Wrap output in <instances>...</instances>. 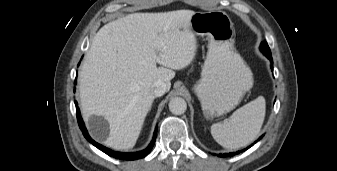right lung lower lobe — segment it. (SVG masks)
<instances>
[{"label":"right lung lower lobe","instance_id":"obj_1","mask_svg":"<svg viewBox=\"0 0 337 171\" xmlns=\"http://www.w3.org/2000/svg\"><path fill=\"white\" fill-rule=\"evenodd\" d=\"M75 105H76V113H77V120H78V124H79V127L80 129L82 130V133L84 135V137L91 143L93 144L95 147H97L98 149H100L101 151H103L104 153H106L107 155L111 156V157H114L116 159H121V160H127V161H131V160H137V159H141V158H144L152 149L154 143H155V140H156V136H157V128L155 129V132H154V136H153V139L150 143V145L142 150V151H139V152H134V153H122V152H115V151H112L104 146H102L101 144L95 142L88 134L86 128H85V125H84V122L80 116V111H79V108L77 106V102L75 101Z\"/></svg>","mask_w":337,"mask_h":171}]
</instances>
